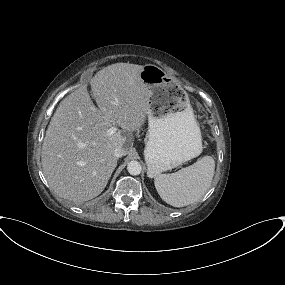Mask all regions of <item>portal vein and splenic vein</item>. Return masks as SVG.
Wrapping results in <instances>:
<instances>
[{"instance_id":"obj_1","label":"portal vein and splenic vein","mask_w":285,"mask_h":285,"mask_svg":"<svg viewBox=\"0 0 285 285\" xmlns=\"http://www.w3.org/2000/svg\"><path fill=\"white\" fill-rule=\"evenodd\" d=\"M117 131V128L115 126H112L111 128L108 129L107 134L113 135Z\"/></svg>"}]
</instances>
